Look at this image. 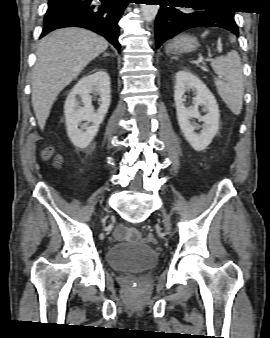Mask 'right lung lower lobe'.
<instances>
[{
  "label": "right lung lower lobe",
  "mask_w": 270,
  "mask_h": 338,
  "mask_svg": "<svg viewBox=\"0 0 270 338\" xmlns=\"http://www.w3.org/2000/svg\"><path fill=\"white\" fill-rule=\"evenodd\" d=\"M130 0H49L41 37L62 27H83L104 36L120 52L119 26Z\"/></svg>",
  "instance_id": "right-lung-lower-lobe-1"
}]
</instances>
